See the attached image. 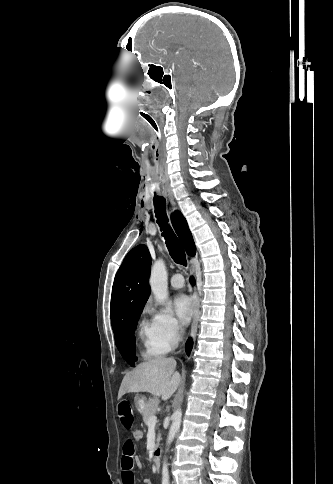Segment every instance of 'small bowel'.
I'll return each mask as SVG.
<instances>
[{
	"label": "small bowel",
	"mask_w": 333,
	"mask_h": 484,
	"mask_svg": "<svg viewBox=\"0 0 333 484\" xmlns=\"http://www.w3.org/2000/svg\"><path fill=\"white\" fill-rule=\"evenodd\" d=\"M117 417L121 426L127 430L134 429V411L128 399H121L117 404ZM139 463V459L135 454V447L133 440L128 438L123 445V454L121 459V471L123 484H134V465ZM147 484H150L147 482Z\"/></svg>",
	"instance_id": "c3829d8e"
}]
</instances>
